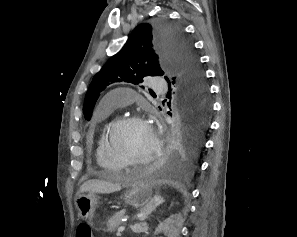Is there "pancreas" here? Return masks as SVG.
I'll return each mask as SVG.
<instances>
[{"instance_id": "cf45deb5", "label": "pancreas", "mask_w": 297, "mask_h": 237, "mask_svg": "<svg viewBox=\"0 0 297 237\" xmlns=\"http://www.w3.org/2000/svg\"><path fill=\"white\" fill-rule=\"evenodd\" d=\"M125 211L115 213L106 223L105 231L114 232L121 224V219L124 217Z\"/></svg>"}]
</instances>
